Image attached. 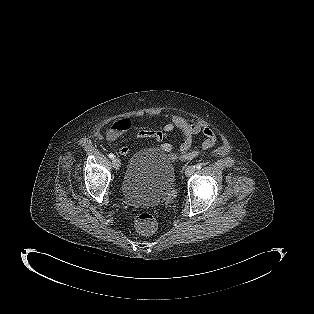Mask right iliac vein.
Here are the masks:
<instances>
[{
  "label": "right iliac vein",
  "instance_id": "right-iliac-vein-1",
  "mask_svg": "<svg viewBox=\"0 0 314 314\" xmlns=\"http://www.w3.org/2000/svg\"><path fill=\"white\" fill-rule=\"evenodd\" d=\"M112 164H113V167L115 170H119L121 163H120V160L118 158H114L112 160Z\"/></svg>",
  "mask_w": 314,
  "mask_h": 314
}]
</instances>
